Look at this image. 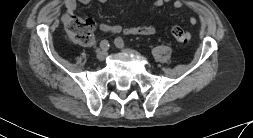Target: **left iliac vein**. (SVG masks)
Wrapping results in <instances>:
<instances>
[{
	"label": "left iliac vein",
	"instance_id": "left-iliac-vein-1",
	"mask_svg": "<svg viewBox=\"0 0 253 138\" xmlns=\"http://www.w3.org/2000/svg\"><path fill=\"white\" fill-rule=\"evenodd\" d=\"M124 52L129 53V54H133V55H139V53L133 49L130 48H123L122 49Z\"/></svg>",
	"mask_w": 253,
	"mask_h": 138
}]
</instances>
